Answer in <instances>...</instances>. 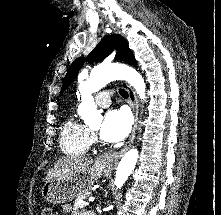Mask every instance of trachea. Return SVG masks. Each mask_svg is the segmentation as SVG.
Returning <instances> with one entry per match:
<instances>
[{
  "instance_id": "trachea-1",
  "label": "trachea",
  "mask_w": 221,
  "mask_h": 215,
  "mask_svg": "<svg viewBox=\"0 0 221 215\" xmlns=\"http://www.w3.org/2000/svg\"><path fill=\"white\" fill-rule=\"evenodd\" d=\"M119 93L123 98H128V93L124 89H119Z\"/></svg>"
}]
</instances>
